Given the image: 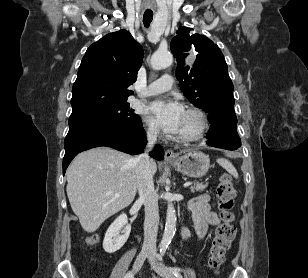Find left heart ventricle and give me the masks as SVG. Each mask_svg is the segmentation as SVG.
<instances>
[{
	"instance_id": "b2bd125f",
	"label": "left heart ventricle",
	"mask_w": 308,
	"mask_h": 278,
	"mask_svg": "<svg viewBox=\"0 0 308 278\" xmlns=\"http://www.w3.org/2000/svg\"><path fill=\"white\" fill-rule=\"evenodd\" d=\"M198 126L197 118L185 110L181 126L178 134H186L193 132Z\"/></svg>"
}]
</instances>
